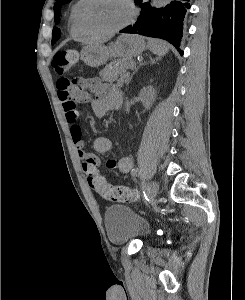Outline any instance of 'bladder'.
Returning <instances> with one entry per match:
<instances>
[{
  "mask_svg": "<svg viewBox=\"0 0 245 300\" xmlns=\"http://www.w3.org/2000/svg\"><path fill=\"white\" fill-rule=\"evenodd\" d=\"M105 230L109 241L123 244L133 239H145L150 234L148 223L129 207L114 205L104 216Z\"/></svg>",
  "mask_w": 245,
  "mask_h": 300,
  "instance_id": "31cf9c89",
  "label": "bladder"
}]
</instances>
